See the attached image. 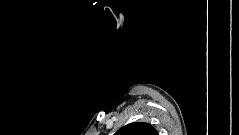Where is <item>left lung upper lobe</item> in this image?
<instances>
[{
    "label": "left lung upper lobe",
    "instance_id": "obj_1",
    "mask_svg": "<svg viewBox=\"0 0 239 135\" xmlns=\"http://www.w3.org/2000/svg\"><path fill=\"white\" fill-rule=\"evenodd\" d=\"M114 135H158V132L148 123L133 122L123 126Z\"/></svg>",
    "mask_w": 239,
    "mask_h": 135
}]
</instances>
